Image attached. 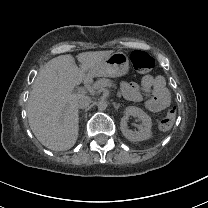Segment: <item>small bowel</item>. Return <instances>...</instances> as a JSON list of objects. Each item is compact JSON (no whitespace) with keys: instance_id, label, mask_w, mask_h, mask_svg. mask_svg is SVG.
<instances>
[{"instance_id":"small-bowel-1","label":"small bowel","mask_w":208,"mask_h":208,"mask_svg":"<svg viewBox=\"0 0 208 208\" xmlns=\"http://www.w3.org/2000/svg\"><path fill=\"white\" fill-rule=\"evenodd\" d=\"M124 96L133 102L142 101L147 96L145 106L153 113L163 112L170 107V95L162 76L144 75L139 82H123Z\"/></svg>"}]
</instances>
